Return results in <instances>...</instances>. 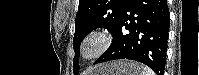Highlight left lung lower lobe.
<instances>
[{"label": "left lung lower lobe", "mask_w": 199, "mask_h": 75, "mask_svg": "<svg viewBox=\"0 0 199 75\" xmlns=\"http://www.w3.org/2000/svg\"><path fill=\"white\" fill-rule=\"evenodd\" d=\"M170 13L166 0H128L107 51L94 64L131 59L164 74Z\"/></svg>", "instance_id": "0a47b994"}]
</instances>
